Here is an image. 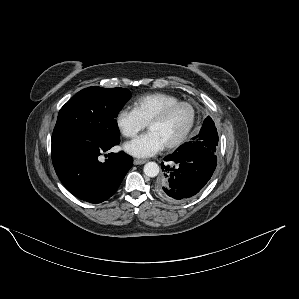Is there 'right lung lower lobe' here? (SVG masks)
<instances>
[{"label": "right lung lower lobe", "mask_w": 299, "mask_h": 299, "mask_svg": "<svg viewBox=\"0 0 299 299\" xmlns=\"http://www.w3.org/2000/svg\"><path fill=\"white\" fill-rule=\"evenodd\" d=\"M119 142L87 136L53 142L52 162L63 185L79 199L90 203H100L110 198L133 161L122 151L109 153L105 162H100L99 156Z\"/></svg>", "instance_id": "right-lung-lower-lobe-1"}]
</instances>
